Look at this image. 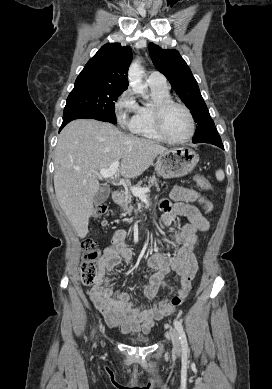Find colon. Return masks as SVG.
<instances>
[{
  "label": "colon",
  "mask_w": 272,
  "mask_h": 389,
  "mask_svg": "<svg viewBox=\"0 0 272 389\" xmlns=\"http://www.w3.org/2000/svg\"><path fill=\"white\" fill-rule=\"evenodd\" d=\"M196 183L198 187L202 190H209L210 183L209 181L201 175H197L195 177ZM107 211V207L104 204H100L96 207L95 217H102ZM83 258L81 262V281L85 286L92 285L97 277V268L101 262V251L97 245V243L93 240H87L83 243ZM185 300V297L182 296H174L171 299V305L173 307L179 306Z\"/></svg>",
  "instance_id": "colon-1"
}]
</instances>
